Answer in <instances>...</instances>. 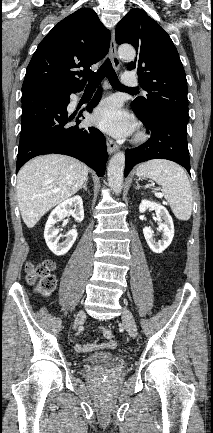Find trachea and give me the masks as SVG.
<instances>
[{"label": "trachea", "instance_id": "1", "mask_svg": "<svg viewBox=\"0 0 213 433\" xmlns=\"http://www.w3.org/2000/svg\"><path fill=\"white\" fill-rule=\"evenodd\" d=\"M105 76H107L112 87L116 89H126V90L135 91L134 88L125 87L120 83L117 74L113 69L111 61L109 59L105 60V62L101 65L100 69L98 70L97 74L90 79L87 88L96 89Z\"/></svg>", "mask_w": 213, "mask_h": 433}]
</instances>
